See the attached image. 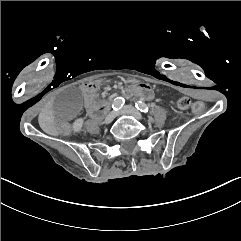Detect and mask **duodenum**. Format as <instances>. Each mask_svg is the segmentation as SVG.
Masks as SVG:
<instances>
[{"mask_svg":"<svg viewBox=\"0 0 241 241\" xmlns=\"http://www.w3.org/2000/svg\"><path fill=\"white\" fill-rule=\"evenodd\" d=\"M108 107V104L107 103H102L100 105H98L94 111L92 112L91 116L94 118V119H99L103 116L104 112L106 111Z\"/></svg>","mask_w":241,"mask_h":241,"instance_id":"obj_1","label":"duodenum"}]
</instances>
